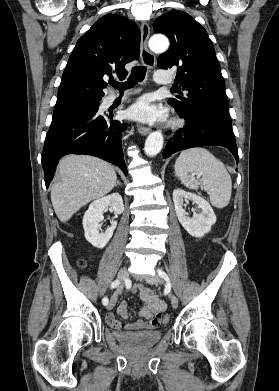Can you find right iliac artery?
<instances>
[{"instance_id":"obj_1","label":"right iliac artery","mask_w":279,"mask_h":391,"mask_svg":"<svg viewBox=\"0 0 279 391\" xmlns=\"http://www.w3.org/2000/svg\"><path fill=\"white\" fill-rule=\"evenodd\" d=\"M118 285H119V281L115 280V281L112 282L111 288H116ZM102 303H103V305H107L108 304V298L104 297L103 300H102Z\"/></svg>"}]
</instances>
